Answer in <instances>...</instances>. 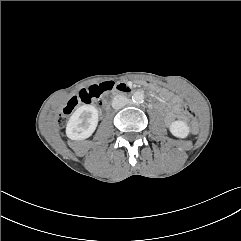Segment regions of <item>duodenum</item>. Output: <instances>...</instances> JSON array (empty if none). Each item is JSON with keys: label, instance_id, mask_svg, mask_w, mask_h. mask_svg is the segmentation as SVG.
<instances>
[{"label": "duodenum", "instance_id": "obj_1", "mask_svg": "<svg viewBox=\"0 0 241 241\" xmlns=\"http://www.w3.org/2000/svg\"><path fill=\"white\" fill-rule=\"evenodd\" d=\"M113 89L114 92H117V93H127L130 91V88L128 85L124 84V83H120V84H117V85H113L111 90Z\"/></svg>", "mask_w": 241, "mask_h": 241}]
</instances>
